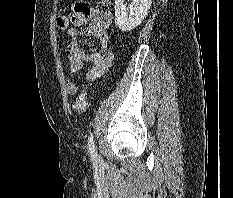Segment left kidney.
<instances>
[{
  "label": "left kidney",
  "instance_id": "left-kidney-1",
  "mask_svg": "<svg viewBox=\"0 0 233 198\" xmlns=\"http://www.w3.org/2000/svg\"><path fill=\"white\" fill-rule=\"evenodd\" d=\"M124 1L115 0V24L121 31H131L146 17L152 0H131L128 7Z\"/></svg>",
  "mask_w": 233,
  "mask_h": 198
}]
</instances>
